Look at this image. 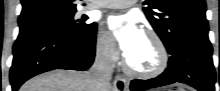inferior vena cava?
<instances>
[{
  "instance_id": "602c4592",
  "label": "inferior vena cava",
  "mask_w": 220,
  "mask_h": 91,
  "mask_svg": "<svg viewBox=\"0 0 220 91\" xmlns=\"http://www.w3.org/2000/svg\"><path fill=\"white\" fill-rule=\"evenodd\" d=\"M111 53L112 47L107 45L96 54L95 61L88 72L93 91H106L110 87L113 73Z\"/></svg>"
}]
</instances>
